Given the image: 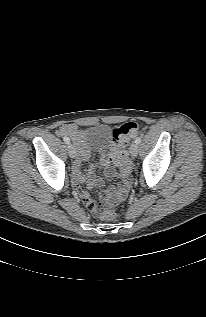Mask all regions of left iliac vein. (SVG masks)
I'll list each match as a JSON object with an SVG mask.
<instances>
[{"mask_svg":"<svg viewBox=\"0 0 206 317\" xmlns=\"http://www.w3.org/2000/svg\"><path fill=\"white\" fill-rule=\"evenodd\" d=\"M130 154L132 157H136L138 154V144L132 143L130 146Z\"/></svg>","mask_w":206,"mask_h":317,"instance_id":"1","label":"left iliac vein"}]
</instances>
